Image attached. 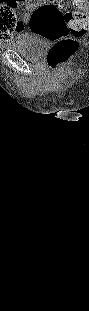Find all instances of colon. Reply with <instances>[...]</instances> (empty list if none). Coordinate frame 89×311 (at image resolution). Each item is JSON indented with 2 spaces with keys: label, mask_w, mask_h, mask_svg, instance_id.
<instances>
[{
  "label": "colon",
  "mask_w": 89,
  "mask_h": 311,
  "mask_svg": "<svg viewBox=\"0 0 89 311\" xmlns=\"http://www.w3.org/2000/svg\"><path fill=\"white\" fill-rule=\"evenodd\" d=\"M75 10L66 11L64 0H48L38 6L30 20L31 31L53 42L47 55L48 65L59 69L78 50V39L86 34L89 26L87 0H72ZM19 24L14 8H6L0 14L3 33L12 32Z\"/></svg>",
  "instance_id": "obj_1"
}]
</instances>
